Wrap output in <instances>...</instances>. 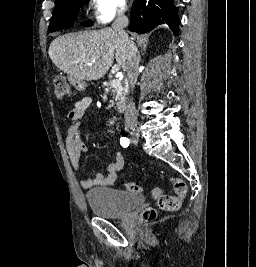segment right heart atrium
Returning <instances> with one entry per match:
<instances>
[{
	"label": "right heart atrium",
	"instance_id": "1",
	"mask_svg": "<svg viewBox=\"0 0 256 267\" xmlns=\"http://www.w3.org/2000/svg\"><path fill=\"white\" fill-rule=\"evenodd\" d=\"M117 14L114 16H106L103 13H96L95 22H112Z\"/></svg>",
	"mask_w": 256,
	"mask_h": 267
}]
</instances>
